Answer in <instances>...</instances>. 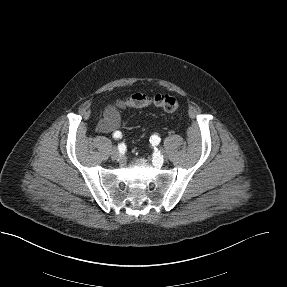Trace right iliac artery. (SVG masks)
<instances>
[{"instance_id":"obj_1","label":"right iliac artery","mask_w":287,"mask_h":287,"mask_svg":"<svg viewBox=\"0 0 287 287\" xmlns=\"http://www.w3.org/2000/svg\"><path fill=\"white\" fill-rule=\"evenodd\" d=\"M113 137L116 138V139H118V138H121V137H122V134H121V132L117 131V132H115V133L113 134ZM125 148H126V146H125L124 143H121V144H119V146H118V149H119L120 152H121V151H124Z\"/></svg>"}]
</instances>
